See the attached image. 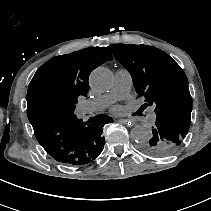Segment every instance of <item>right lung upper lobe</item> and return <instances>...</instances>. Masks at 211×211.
<instances>
[{"label": "right lung upper lobe", "mask_w": 211, "mask_h": 211, "mask_svg": "<svg viewBox=\"0 0 211 211\" xmlns=\"http://www.w3.org/2000/svg\"><path fill=\"white\" fill-rule=\"evenodd\" d=\"M112 55L104 47H91L52 58L32 78L27 91L30 123L53 118L65 107L76 104L89 90L90 73Z\"/></svg>", "instance_id": "cb5924a9"}]
</instances>
